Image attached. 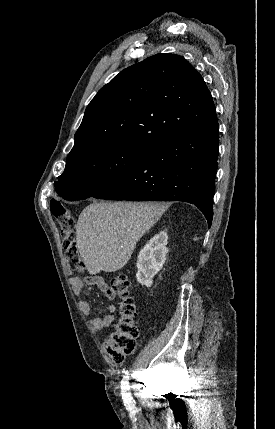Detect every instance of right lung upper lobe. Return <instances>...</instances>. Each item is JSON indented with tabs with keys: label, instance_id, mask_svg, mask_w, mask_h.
Listing matches in <instances>:
<instances>
[{
	"label": "right lung upper lobe",
	"instance_id": "1",
	"mask_svg": "<svg viewBox=\"0 0 275 429\" xmlns=\"http://www.w3.org/2000/svg\"><path fill=\"white\" fill-rule=\"evenodd\" d=\"M217 121L202 76L182 56L134 64L103 86L86 108L67 163L116 144L151 148L177 132Z\"/></svg>",
	"mask_w": 275,
	"mask_h": 429
}]
</instances>
